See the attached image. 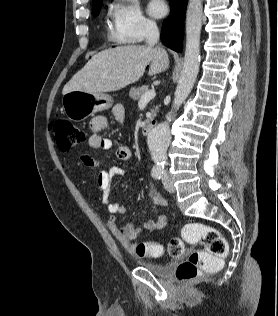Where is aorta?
<instances>
[{"label":"aorta","instance_id":"1","mask_svg":"<svg viewBox=\"0 0 278 316\" xmlns=\"http://www.w3.org/2000/svg\"><path fill=\"white\" fill-rule=\"evenodd\" d=\"M133 1V0H127ZM203 18L202 0H189L186 13V50L184 65L175 91L173 106L166 115V122L156 125L149 133L147 144L154 162V167L163 169L167 148L171 141L168 122L180 108L191 92L200 65V33Z\"/></svg>","mask_w":278,"mask_h":316}]
</instances>
